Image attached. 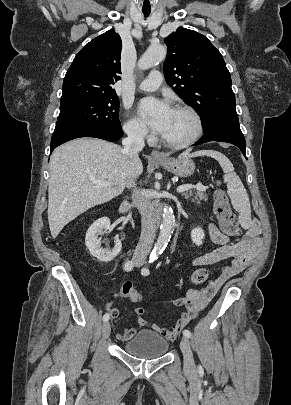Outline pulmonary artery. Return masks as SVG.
Returning <instances> with one entry per match:
<instances>
[{"mask_svg":"<svg viewBox=\"0 0 291 405\" xmlns=\"http://www.w3.org/2000/svg\"><path fill=\"white\" fill-rule=\"evenodd\" d=\"M162 74L153 70L149 73L148 77L139 84V89L143 91H154L162 84Z\"/></svg>","mask_w":291,"mask_h":405,"instance_id":"e3ab8cb5","label":"pulmonary artery"}]
</instances>
